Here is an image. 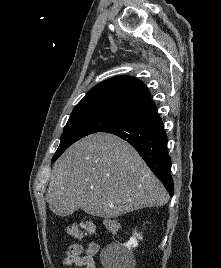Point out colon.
<instances>
[{
    "instance_id": "1",
    "label": "colon",
    "mask_w": 221,
    "mask_h": 268,
    "mask_svg": "<svg viewBox=\"0 0 221 268\" xmlns=\"http://www.w3.org/2000/svg\"><path fill=\"white\" fill-rule=\"evenodd\" d=\"M105 227L108 231L116 233L119 230V222L113 219H107L104 221ZM96 230V224L92 220H87L80 224H70L66 227L67 233L73 238L82 240L85 237L94 235Z\"/></svg>"
}]
</instances>
